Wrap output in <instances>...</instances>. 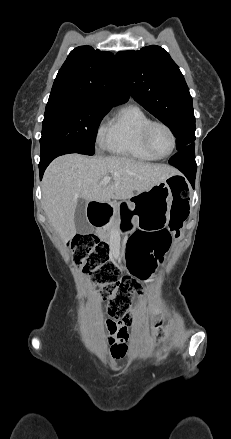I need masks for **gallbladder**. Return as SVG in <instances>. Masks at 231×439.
Masks as SVG:
<instances>
[{"instance_id": "gallbladder-1", "label": "gallbladder", "mask_w": 231, "mask_h": 439, "mask_svg": "<svg viewBox=\"0 0 231 439\" xmlns=\"http://www.w3.org/2000/svg\"><path fill=\"white\" fill-rule=\"evenodd\" d=\"M86 204L87 202L85 200H79L74 214L76 231L81 234L90 233L92 231L86 218Z\"/></svg>"}]
</instances>
